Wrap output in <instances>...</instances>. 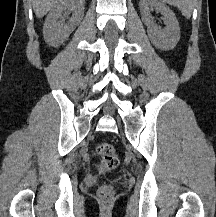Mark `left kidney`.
I'll return each mask as SVG.
<instances>
[{"instance_id":"obj_1","label":"left kidney","mask_w":216,"mask_h":217,"mask_svg":"<svg viewBox=\"0 0 216 217\" xmlns=\"http://www.w3.org/2000/svg\"><path fill=\"white\" fill-rule=\"evenodd\" d=\"M152 9L159 11L166 22L164 29L159 28L150 14ZM142 21L147 25V33L151 42L161 50L173 49L180 39V27L173 11L157 0H140Z\"/></svg>"}]
</instances>
